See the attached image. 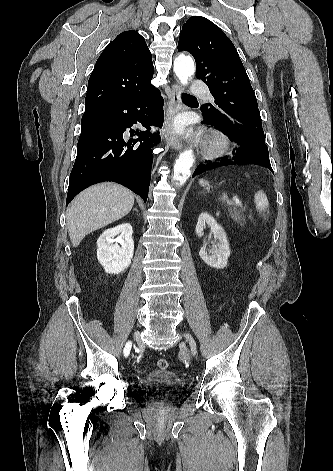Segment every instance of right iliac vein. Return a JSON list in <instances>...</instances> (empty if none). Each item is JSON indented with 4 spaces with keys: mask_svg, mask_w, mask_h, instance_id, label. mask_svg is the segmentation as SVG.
I'll list each match as a JSON object with an SVG mask.
<instances>
[{
    "mask_svg": "<svg viewBox=\"0 0 333 471\" xmlns=\"http://www.w3.org/2000/svg\"><path fill=\"white\" fill-rule=\"evenodd\" d=\"M134 338H135L136 342L140 341V333L138 331L134 333Z\"/></svg>",
    "mask_w": 333,
    "mask_h": 471,
    "instance_id": "63e3f726",
    "label": "right iliac vein"
}]
</instances>
